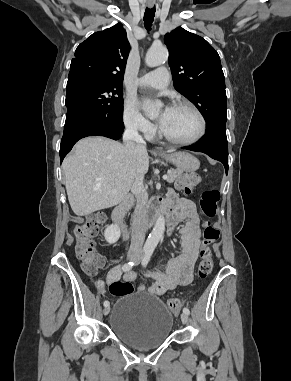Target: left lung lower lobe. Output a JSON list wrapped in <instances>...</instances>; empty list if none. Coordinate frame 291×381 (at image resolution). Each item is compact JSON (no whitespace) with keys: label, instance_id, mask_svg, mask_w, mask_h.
<instances>
[{"label":"left lung lower lobe","instance_id":"obj_1","mask_svg":"<svg viewBox=\"0 0 291 381\" xmlns=\"http://www.w3.org/2000/svg\"><path fill=\"white\" fill-rule=\"evenodd\" d=\"M182 149L202 152L213 159L219 160L225 166L226 174L228 173V142L226 131L208 132L197 144L182 147Z\"/></svg>","mask_w":291,"mask_h":381}]
</instances>
